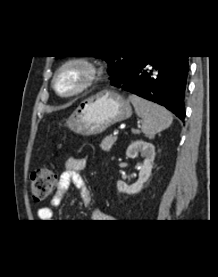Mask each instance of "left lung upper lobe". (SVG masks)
<instances>
[{
	"mask_svg": "<svg viewBox=\"0 0 218 277\" xmlns=\"http://www.w3.org/2000/svg\"><path fill=\"white\" fill-rule=\"evenodd\" d=\"M105 59L109 64V75L113 78L116 74L120 73L127 65L132 56H95Z\"/></svg>",
	"mask_w": 218,
	"mask_h": 277,
	"instance_id": "1",
	"label": "left lung upper lobe"
}]
</instances>
